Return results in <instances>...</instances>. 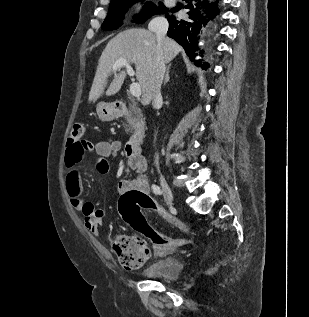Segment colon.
<instances>
[{"label": "colon", "instance_id": "colon-1", "mask_svg": "<svg viewBox=\"0 0 309 317\" xmlns=\"http://www.w3.org/2000/svg\"><path fill=\"white\" fill-rule=\"evenodd\" d=\"M84 133L85 126L83 124L77 123L73 125L65 158L66 163L72 164L83 158L84 145H90L83 140ZM142 209L153 210L164 216L171 224L179 229L191 231V228L184 222L167 214L149 194L139 190H129L121 195L119 200V212L122 218L154 246L171 249L191 243L188 239L170 238L157 232L145 220L141 212ZM112 249L120 265L127 270L141 268L150 254L149 247L145 240L127 234L119 235L114 238L112 241Z\"/></svg>", "mask_w": 309, "mask_h": 317}]
</instances>
